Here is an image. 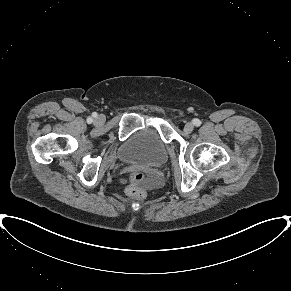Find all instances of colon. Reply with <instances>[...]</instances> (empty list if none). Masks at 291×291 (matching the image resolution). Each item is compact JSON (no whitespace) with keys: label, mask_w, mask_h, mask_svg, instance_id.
I'll return each mask as SVG.
<instances>
[{"label":"colon","mask_w":291,"mask_h":291,"mask_svg":"<svg viewBox=\"0 0 291 291\" xmlns=\"http://www.w3.org/2000/svg\"><path fill=\"white\" fill-rule=\"evenodd\" d=\"M146 176L142 172H133L130 175L129 183L127 186V193L136 199H143L145 197V191L142 187Z\"/></svg>","instance_id":"1"}]
</instances>
